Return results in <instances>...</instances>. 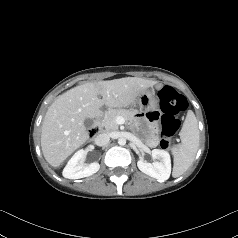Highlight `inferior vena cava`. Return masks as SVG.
I'll use <instances>...</instances> for the list:
<instances>
[{
  "label": "inferior vena cava",
  "mask_w": 238,
  "mask_h": 238,
  "mask_svg": "<svg viewBox=\"0 0 238 238\" xmlns=\"http://www.w3.org/2000/svg\"><path fill=\"white\" fill-rule=\"evenodd\" d=\"M94 141L97 146H105L109 143L110 136L106 133H101L95 137Z\"/></svg>",
  "instance_id": "1"
}]
</instances>
